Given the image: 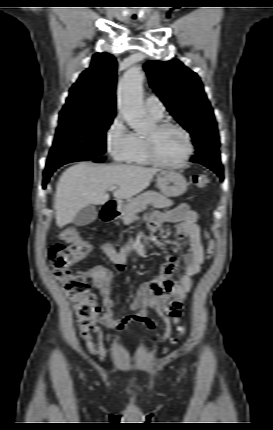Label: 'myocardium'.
Returning <instances> with one entry per match:
<instances>
[{
  "label": "myocardium",
  "mask_w": 273,
  "mask_h": 430,
  "mask_svg": "<svg viewBox=\"0 0 273 430\" xmlns=\"http://www.w3.org/2000/svg\"><path fill=\"white\" fill-rule=\"evenodd\" d=\"M152 127L154 128L155 132H160L167 128H174L179 130L185 136L187 149L184 156L177 162L162 161L157 155L153 136L146 135L145 142H146L147 154L150 162L156 166L163 167V168H180L184 166L191 158L194 152L192 137L189 131L182 125L171 121H159L154 123Z\"/></svg>",
  "instance_id": "obj_1"
}]
</instances>
